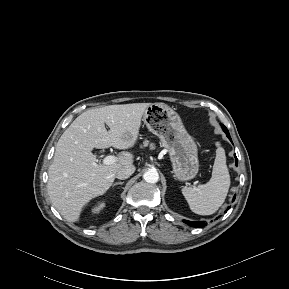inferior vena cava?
<instances>
[{
    "mask_svg": "<svg viewBox=\"0 0 289 289\" xmlns=\"http://www.w3.org/2000/svg\"><path fill=\"white\" fill-rule=\"evenodd\" d=\"M135 172L134 165H126L119 168L116 172V177L118 179L124 180L129 178Z\"/></svg>",
    "mask_w": 289,
    "mask_h": 289,
    "instance_id": "602c4592",
    "label": "inferior vena cava"
}]
</instances>
